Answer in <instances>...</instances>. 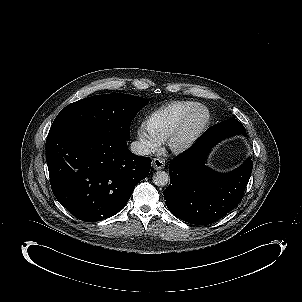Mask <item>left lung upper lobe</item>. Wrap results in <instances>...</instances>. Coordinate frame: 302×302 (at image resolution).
<instances>
[{
  "instance_id": "1",
  "label": "left lung upper lobe",
  "mask_w": 302,
  "mask_h": 302,
  "mask_svg": "<svg viewBox=\"0 0 302 302\" xmlns=\"http://www.w3.org/2000/svg\"><path fill=\"white\" fill-rule=\"evenodd\" d=\"M212 134L220 139L227 138L232 135L242 134L246 136L245 127L236 119H229L217 124L211 128Z\"/></svg>"
}]
</instances>
